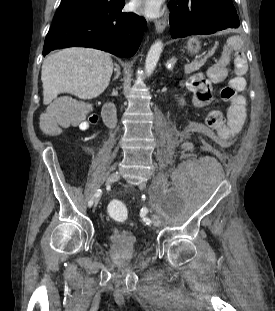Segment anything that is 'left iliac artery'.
<instances>
[{"mask_svg":"<svg viewBox=\"0 0 275 311\" xmlns=\"http://www.w3.org/2000/svg\"><path fill=\"white\" fill-rule=\"evenodd\" d=\"M144 221H145L146 223H149V222H150V220L147 219V218H144Z\"/></svg>","mask_w":275,"mask_h":311,"instance_id":"1","label":"left iliac artery"}]
</instances>
